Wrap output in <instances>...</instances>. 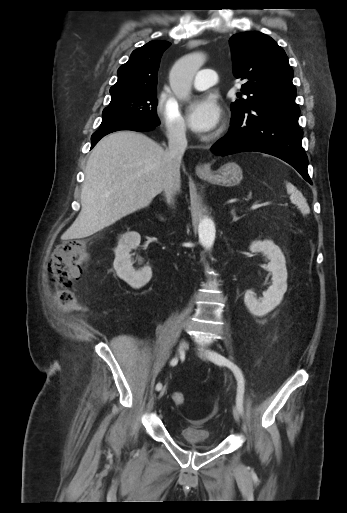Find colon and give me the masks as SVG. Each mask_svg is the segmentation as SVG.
I'll use <instances>...</instances> for the list:
<instances>
[{
  "label": "colon",
  "instance_id": "colon-1",
  "mask_svg": "<svg viewBox=\"0 0 347 513\" xmlns=\"http://www.w3.org/2000/svg\"><path fill=\"white\" fill-rule=\"evenodd\" d=\"M89 260V253L81 240H71L62 243L50 258V271L55 281V291L62 307L70 308L76 304L72 292L73 282L80 278L83 266ZM172 401L178 407L186 403L185 395L181 391L171 394Z\"/></svg>",
  "mask_w": 347,
  "mask_h": 513
}]
</instances>
